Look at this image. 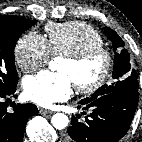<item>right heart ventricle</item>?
Listing matches in <instances>:
<instances>
[{
	"label": "right heart ventricle",
	"instance_id": "1",
	"mask_svg": "<svg viewBox=\"0 0 142 142\" xmlns=\"http://www.w3.org/2000/svg\"><path fill=\"white\" fill-rule=\"evenodd\" d=\"M46 32L51 55H73L103 45L101 34L84 22L50 23Z\"/></svg>",
	"mask_w": 142,
	"mask_h": 142
}]
</instances>
